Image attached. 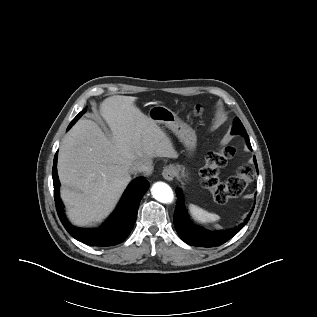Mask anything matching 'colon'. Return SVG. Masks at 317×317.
I'll use <instances>...</instances> for the list:
<instances>
[{"instance_id":"5ec220e1","label":"colon","mask_w":317,"mask_h":317,"mask_svg":"<svg viewBox=\"0 0 317 317\" xmlns=\"http://www.w3.org/2000/svg\"><path fill=\"white\" fill-rule=\"evenodd\" d=\"M202 107L197 105L194 108L196 114L202 112ZM235 154V148L224 146L217 151L211 152L206 158V163L201 170L203 185L207 188L214 200L225 202L229 198L240 196L248 183L252 180V170L248 166H242L237 174L226 182L219 179L220 170L227 164Z\"/></svg>"}]
</instances>
